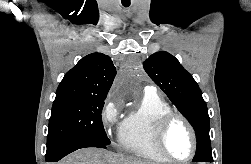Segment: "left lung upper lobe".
Listing matches in <instances>:
<instances>
[{
    "mask_svg": "<svg viewBox=\"0 0 251 164\" xmlns=\"http://www.w3.org/2000/svg\"><path fill=\"white\" fill-rule=\"evenodd\" d=\"M143 67L195 129L197 150L193 161H213L208 110L202 92L192 75L174 56L165 51L152 54L143 62Z\"/></svg>",
    "mask_w": 251,
    "mask_h": 164,
    "instance_id": "5c2ea615",
    "label": "left lung upper lobe"
}]
</instances>
